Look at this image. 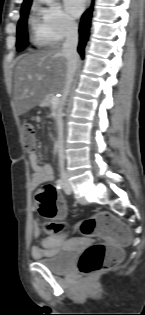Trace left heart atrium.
Here are the masks:
<instances>
[{"label": "left heart atrium", "mask_w": 145, "mask_h": 315, "mask_svg": "<svg viewBox=\"0 0 145 315\" xmlns=\"http://www.w3.org/2000/svg\"><path fill=\"white\" fill-rule=\"evenodd\" d=\"M86 0H64L66 11L72 17H78L85 7Z\"/></svg>", "instance_id": "left-heart-atrium-1"}]
</instances>
